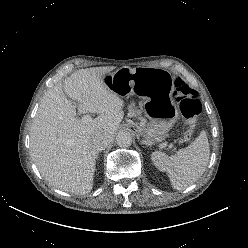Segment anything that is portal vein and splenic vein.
<instances>
[{"instance_id":"obj_1","label":"portal vein and splenic vein","mask_w":248,"mask_h":248,"mask_svg":"<svg viewBox=\"0 0 248 248\" xmlns=\"http://www.w3.org/2000/svg\"><path fill=\"white\" fill-rule=\"evenodd\" d=\"M82 119H83L84 121H89V120H91V117H90L89 115H84V116L82 117Z\"/></svg>"}]
</instances>
